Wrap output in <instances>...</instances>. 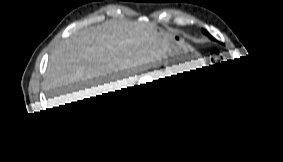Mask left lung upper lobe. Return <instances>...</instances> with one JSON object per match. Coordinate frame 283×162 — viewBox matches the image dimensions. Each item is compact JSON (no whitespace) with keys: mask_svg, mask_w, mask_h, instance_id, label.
<instances>
[{"mask_svg":"<svg viewBox=\"0 0 283 162\" xmlns=\"http://www.w3.org/2000/svg\"><path fill=\"white\" fill-rule=\"evenodd\" d=\"M202 31H203V33H204V34H207V35H209V34L207 33V31H205V30H202ZM209 36H210V35H209Z\"/></svg>","mask_w":283,"mask_h":162,"instance_id":"left-lung-upper-lobe-1","label":"left lung upper lobe"}]
</instances>
